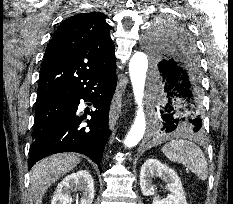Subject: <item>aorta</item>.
<instances>
[{
	"mask_svg": "<svg viewBox=\"0 0 233 204\" xmlns=\"http://www.w3.org/2000/svg\"><path fill=\"white\" fill-rule=\"evenodd\" d=\"M148 69V59L145 53L136 52L129 62V73L135 101L137 103V113L133 125L124 141L125 147L136 146L143 138L146 130V118L143 111L144 86Z\"/></svg>",
	"mask_w": 233,
	"mask_h": 204,
	"instance_id": "1",
	"label": "aorta"
}]
</instances>
